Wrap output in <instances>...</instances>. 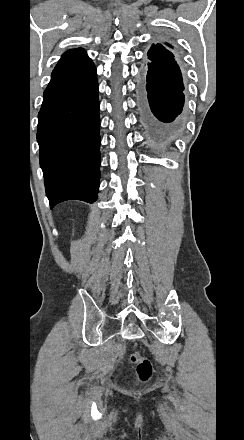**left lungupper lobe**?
<instances>
[{
	"label": "left lung upper lobe",
	"instance_id": "left-lung-upper-lobe-1",
	"mask_svg": "<svg viewBox=\"0 0 244 440\" xmlns=\"http://www.w3.org/2000/svg\"><path fill=\"white\" fill-rule=\"evenodd\" d=\"M174 47L167 43L163 42V44L152 45V47L148 51V57L153 60H161L164 62L172 61V52ZM175 57V56H174Z\"/></svg>",
	"mask_w": 244,
	"mask_h": 440
}]
</instances>
